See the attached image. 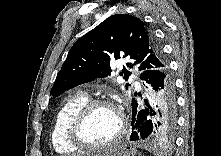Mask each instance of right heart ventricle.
Masks as SVG:
<instances>
[{
  "mask_svg": "<svg viewBox=\"0 0 221 156\" xmlns=\"http://www.w3.org/2000/svg\"><path fill=\"white\" fill-rule=\"evenodd\" d=\"M88 101L84 94L68 98L57 112L51 131L54 150L60 154H70L77 150L67 139V126L73 114Z\"/></svg>",
  "mask_w": 221,
  "mask_h": 156,
  "instance_id": "obj_1",
  "label": "right heart ventricle"
}]
</instances>
